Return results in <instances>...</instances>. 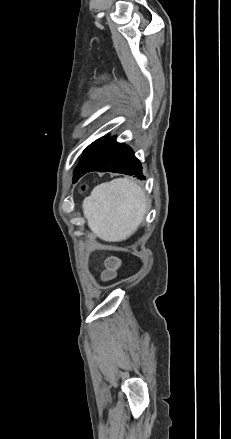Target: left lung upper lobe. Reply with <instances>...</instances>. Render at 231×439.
Here are the masks:
<instances>
[{"instance_id": "left-lung-upper-lobe-1", "label": "left lung upper lobe", "mask_w": 231, "mask_h": 439, "mask_svg": "<svg viewBox=\"0 0 231 439\" xmlns=\"http://www.w3.org/2000/svg\"><path fill=\"white\" fill-rule=\"evenodd\" d=\"M108 140L107 136H104L92 144H90L82 154V157L79 160L78 166L74 170L73 182H76L81 174L93 163L98 152L104 145V143Z\"/></svg>"}]
</instances>
